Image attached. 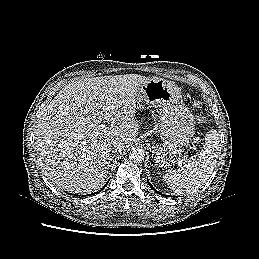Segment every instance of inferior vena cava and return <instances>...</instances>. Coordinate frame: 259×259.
Returning a JSON list of instances; mask_svg holds the SVG:
<instances>
[{"label":"inferior vena cava","instance_id":"602c4592","mask_svg":"<svg viewBox=\"0 0 259 259\" xmlns=\"http://www.w3.org/2000/svg\"><path fill=\"white\" fill-rule=\"evenodd\" d=\"M122 143L118 141H113L110 144V151L113 153H116L121 150Z\"/></svg>","mask_w":259,"mask_h":259}]
</instances>
